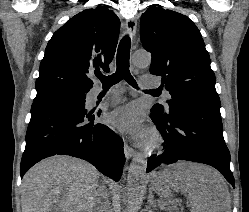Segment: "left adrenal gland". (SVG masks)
Instances as JSON below:
<instances>
[{"mask_svg": "<svg viewBox=\"0 0 249 212\" xmlns=\"http://www.w3.org/2000/svg\"><path fill=\"white\" fill-rule=\"evenodd\" d=\"M147 202H148L147 208H159V206H154L153 196H152L151 192H149V194H148Z\"/></svg>", "mask_w": 249, "mask_h": 212, "instance_id": "obj_1", "label": "left adrenal gland"}]
</instances>
